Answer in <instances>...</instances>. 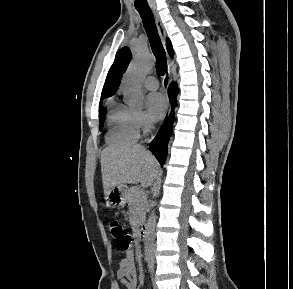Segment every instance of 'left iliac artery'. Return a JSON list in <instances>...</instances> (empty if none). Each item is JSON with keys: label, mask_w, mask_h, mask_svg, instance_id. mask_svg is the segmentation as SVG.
Instances as JSON below:
<instances>
[{"label": "left iliac artery", "mask_w": 293, "mask_h": 289, "mask_svg": "<svg viewBox=\"0 0 293 289\" xmlns=\"http://www.w3.org/2000/svg\"><path fill=\"white\" fill-rule=\"evenodd\" d=\"M148 267L149 271L152 272L154 268V260L153 259H148Z\"/></svg>", "instance_id": "left-iliac-artery-1"}]
</instances>
